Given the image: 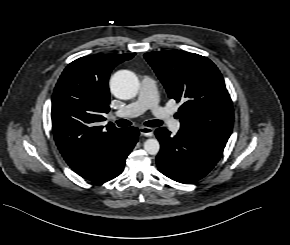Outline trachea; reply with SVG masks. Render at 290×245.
Masks as SVG:
<instances>
[{
  "label": "trachea",
  "mask_w": 290,
  "mask_h": 245,
  "mask_svg": "<svg viewBox=\"0 0 290 245\" xmlns=\"http://www.w3.org/2000/svg\"><path fill=\"white\" fill-rule=\"evenodd\" d=\"M116 123L119 127H126L131 125V122L126 119L117 120ZM144 124L149 127H158L162 125V122L160 120H149Z\"/></svg>",
  "instance_id": "obj_1"
}]
</instances>
